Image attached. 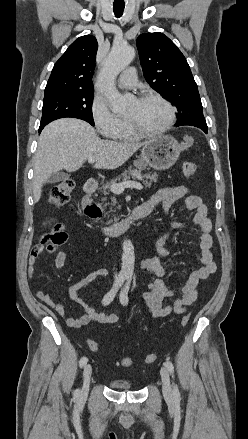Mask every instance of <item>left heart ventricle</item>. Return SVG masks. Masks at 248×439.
I'll return each mask as SVG.
<instances>
[{"instance_id": "1", "label": "left heart ventricle", "mask_w": 248, "mask_h": 439, "mask_svg": "<svg viewBox=\"0 0 248 439\" xmlns=\"http://www.w3.org/2000/svg\"><path fill=\"white\" fill-rule=\"evenodd\" d=\"M126 118L133 119L145 130H158L169 120V111L164 103L156 99L135 100L129 108Z\"/></svg>"}]
</instances>
